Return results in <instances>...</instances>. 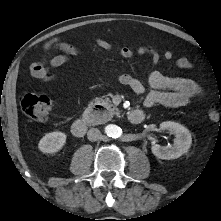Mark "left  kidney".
Masks as SVG:
<instances>
[{"instance_id": "left-kidney-1", "label": "left kidney", "mask_w": 221, "mask_h": 221, "mask_svg": "<svg viewBox=\"0 0 221 221\" xmlns=\"http://www.w3.org/2000/svg\"><path fill=\"white\" fill-rule=\"evenodd\" d=\"M161 130H168L175 135L174 143L171 146H160L154 144L151 147L152 153L159 159H176L187 153L192 144L191 133L183 125L166 121L160 124Z\"/></svg>"}]
</instances>
